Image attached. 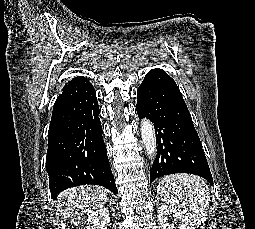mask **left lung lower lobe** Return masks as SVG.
Listing matches in <instances>:
<instances>
[{
	"instance_id": "0a47b994",
	"label": "left lung lower lobe",
	"mask_w": 255,
	"mask_h": 229,
	"mask_svg": "<svg viewBox=\"0 0 255 229\" xmlns=\"http://www.w3.org/2000/svg\"><path fill=\"white\" fill-rule=\"evenodd\" d=\"M140 119L154 123L157 156L150 183L173 173L199 175L213 185L212 175L188 108L175 81L162 69H152L137 90Z\"/></svg>"
}]
</instances>
